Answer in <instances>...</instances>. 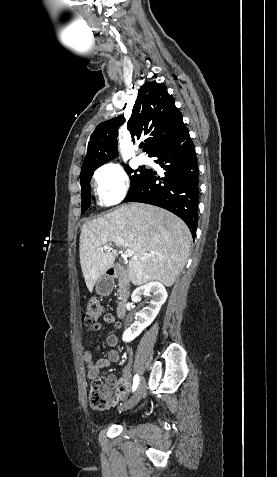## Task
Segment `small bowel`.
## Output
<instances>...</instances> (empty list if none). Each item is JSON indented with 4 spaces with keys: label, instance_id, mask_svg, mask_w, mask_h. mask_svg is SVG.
<instances>
[{
    "label": "small bowel",
    "instance_id": "c3829d8e",
    "mask_svg": "<svg viewBox=\"0 0 277 477\" xmlns=\"http://www.w3.org/2000/svg\"><path fill=\"white\" fill-rule=\"evenodd\" d=\"M103 320L106 324H113L116 329L122 328V323L116 321L112 314H105ZM101 328V324L97 323L88 332L92 333ZM106 343L109 347L114 348L118 343V337L116 334L111 333L106 337ZM100 347L96 346L95 350H99ZM120 359V353L116 349H111L105 357L95 359L92 350H86L83 354V360L87 366V377L89 380L95 381L101 370L111 366L113 363L118 362ZM111 381L115 382V378L111 376Z\"/></svg>",
    "mask_w": 277,
    "mask_h": 477
}]
</instances>
